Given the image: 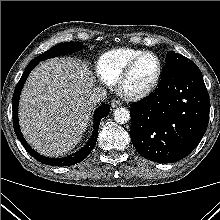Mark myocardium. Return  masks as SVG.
<instances>
[{"label": "myocardium", "instance_id": "obj_1", "mask_svg": "<svg viewBox=\"0 0 220 220\" xmlns=\"http://www.w3.org/2000/svg\"><path fill=\"white\" fill-rule=\"evenodd\" d=\"M153 56L155 57V59L157 60V72L155 74V77L153 78L152 82L145 87L142 90L139 91H130L126 88V83L132 73V71L134 70L135 66L137 65V63L145 56ZM162 61L161 58L152 51H143L140 54H138L137 56H135L125 67V69L123 70V72L121 73V75L119 76L116 85H117V91L119 93V95L126 99V100H130V101H136V100H140L145 98L146 96H148L158 85V82L160 80L161 74H162Z\"/></svg>", "mask_w": 220, "mask_h": 220}]
</instances>
